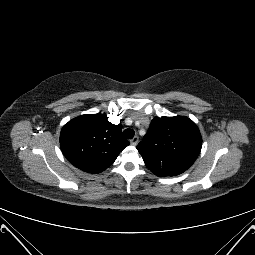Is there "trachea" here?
I'll return each instance as SVG.
<instances>
[{
    "label": "trachea",
    "mask_w": 255,
    "mask_h": 255,
    "mask_svg": "<svg viewBox=\"0 0 255 255\" xmlns=\"http://www.w3.org/2000/svg\"><path fill=\"white\" fill-rule=\"evenodd\" d=\"M134 134H135V132L133 129H125L123 131V137L125 139H132L134 137Z\"/></svg>",
    "instance_id": "obj_1"
}]
</instances>
